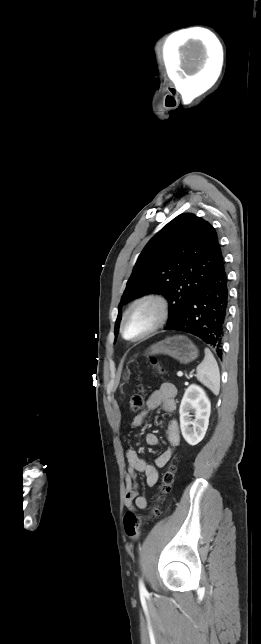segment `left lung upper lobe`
I'll list each match as a JSON object with an SVG mask.
<instances>
[{
	"label": "left lung upper lobe",
	"mask_w": 261,
	"mask_h": 644,
	"mask_svg": "<svg viewBox=\"0 0 261 644\" xmlns=\"http://www.w3.org/2000/svg\"><path fill=\"white\" fill-rule=\"evenodd\" d=\"M223 258L215 229L193 214L169 222L140 254L119 305L148 293H161L169 301L173 323L185 310Z\"/></svg>",
	"instance_id": "left-lung-upper-lobe-1"
}]
</instances>
